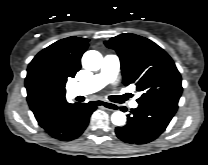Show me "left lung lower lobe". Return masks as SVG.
<instances>
[{
	"instance_id": "obj_1",
	"label": "left lung lower lobe",
	"mask_w": 208,
	"mask_h": 165,
	"mask_svg": "<svg viewBox=\"0 0 208 165\" xmlns=\"http://www.w3.org/2000/svg\"><path fill=\"white\" fill-rule=\"evenodd\" d=\"M177 108L178 103L171 101L139 104L127 115V124L116 128V135L126 143H149L165 131Z\"/></svg>"
}]
</instances>
